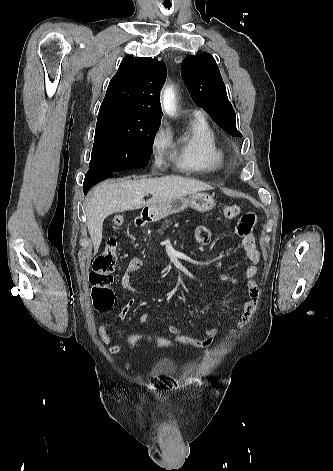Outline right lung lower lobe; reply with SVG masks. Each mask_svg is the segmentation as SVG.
Here are the masks:
<instances>
[{"label": "right lung lower lobe", "instance_id": "98d812e1", "mask_svg": "<svg viewBox=\"0 0 333 471\" xmlns=\"http://www.w3.org/2000/svg\"><path fill=\"white\" fill-rule=\"evenodd\" d=\"M114 175H115V173L104 174V173L87 172V174L85 176V179H84V183H83L84 194H86L88 192V190L91 187H93L96 183H98L102 180H105L107 178L113 177Z\"/></svg>", "mask_w": 333, "mask_h": 471}]
</instances>
